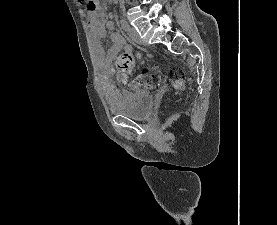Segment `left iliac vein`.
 <instances>
[{
	"mask_svg": "<svg viewBox=\"0 0 277 225\" xmlns=\"http://www.w3.org/2000/svg\"><path fill=\"white\" fill-rule=\"evenodd\" d=\"M129 36L132 39V41H134L135 43L144 44V42L141 40V38L139 37L137 31L134 28H130Z\"/></svg>",
	"mask_w": 277,
	"mask_h": 225,
	"instance_id": "1",
	"label": "left iliac vein"
}]
</instances>
